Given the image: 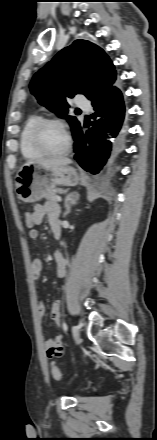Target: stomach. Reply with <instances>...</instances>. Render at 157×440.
<instances>
[{
  "instance_id": "1",
  "label": "stomach",
  "mask_w": 157,
  "mask_h": 440,
  "mask_svg": "<svg viewBox=\"0 0 157 440\" xmlns=\"http://www.w3.org/2000/svg\"><path fill=\"white\" fill-rule=\"evenodd\" d=\"M80 175L69 165L47 168L43 164L24 165L15 178L18 199L34 203L50 194L57 186H75Z\"/></svg>"
}]
</instances>
